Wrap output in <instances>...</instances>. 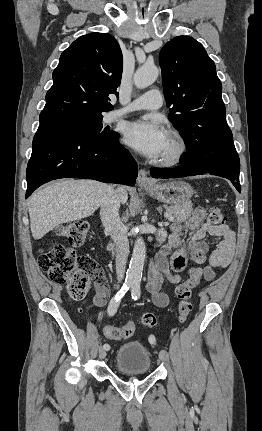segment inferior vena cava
<instances>
[{"instance_id":"602c4592","label":"inferior vena cava","mask_w":262,"mask_h":431,"mask_svg":"<svg viewBox=\"0 0 262 431\" xmlns=\"http://www.w3.org/2000/svg\"><path fill=\"white\" fill-rule=\"evenodd\" d=\"M122 188L114 189L110 186L106 196L103 198L100 216L105 231L109 232L116 246V274L118 281H122L126 269L129 254V242L127 229L119 217L120 197Z\"/></svg>"}]
</instances>
